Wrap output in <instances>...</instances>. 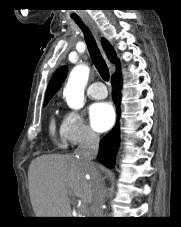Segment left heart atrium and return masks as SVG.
I'll return each instance as SVG.
<instances>
[{
	"label": "left heart atrium",
	"instance_id": "1",
	"mask_svg": "<svg viewBox=\"0 0 181 227\" xmlns=\"http://www.w3.org/2000/svg\"><path fill=\"white\" fill-rule=\"evenodd\" d=\"M89 118L92 127L98 132L108 130L114 123L113 107L108 102H99L90 106Z\"/></svg>",
	"mask_w": 181,
	"mask_h": 227
}]
</instances>
